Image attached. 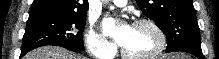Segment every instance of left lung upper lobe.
<instances>
[{
    "instance_id": "obj_1",
    "label": "left lung upper lobe",
    "mask_w": 219,
    "mask_h": 59,
    "mask_svg": "<svg viewBox=\"0 0 219 59\" xmlns=\"http://www.w3.org/2000/svg\"><path fill=\"white\" fill-rule=\"evenodd\" d=\"M143 14L154 20L167 37V49L182 42H200L192 0H136Z\"/></svg>"
}]
</instances>
